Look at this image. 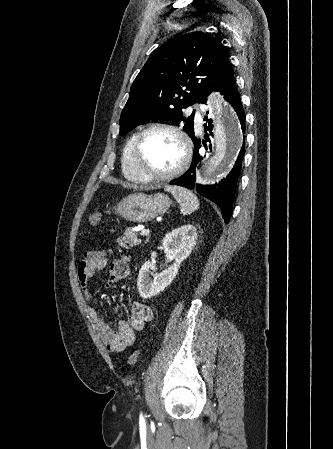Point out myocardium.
I'll use <instances>...</instances> for the list:
<instances>
[{
    "mask_svg": "<svg viewBox=\"0 0 333 449\" xmlns=\"http://www.w3.org/2000/svg\"><path fill=\"white\" fill-rule=\"evenodd\" d=\"M154 130H162L170 133L174 137L178 139L182 148V158L179 164L171 171L164 174H150L144 171L141 166V146L144 138ZM192 157V146L191 142L186 136V134L180 130L179 128L161 122H155L147 125L144 129H142L136 137L133 147V163L134 167L139 174V176L145 182H164L172 180L179 175H181L189 166Z\"/></svg>",
    "mask_w": 333,
    "mask_h": 449,
    "instance_id": "myocardium-1",
    "label": "myocardium"
}]
</instances>
